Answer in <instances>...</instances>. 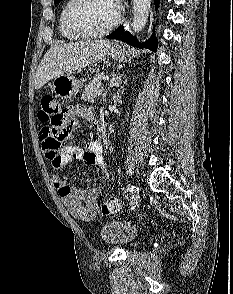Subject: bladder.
Returning a JSON list of instances; mask_svg holds the SVG:
<instances>
[{
	"mask_svg": "<svg viewBox=\"0 0 233 294\" xmlns=\"http://www.w3.org/2000/svg\"><path fill=\"white\" fill-rule=\"evenodd\" d=\"M100 237L105 244L129 247L136 242L138 232L137 228L129 221L113 219L102 226Z\"/></svg>",
	"mask_w": 233,
	"mask_h": 294,
	"instance_id": "bladder-1",
	"label": "bladder"
}]
</instances>
